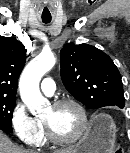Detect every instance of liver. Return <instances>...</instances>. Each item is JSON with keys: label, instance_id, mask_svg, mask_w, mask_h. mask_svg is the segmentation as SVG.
<instances>
[{"label": "liver", "instance_id": "liver-1", "mask_svg": "<svg viewBox=\"0 0 130 153\" xmlns=\"http://www.w3.org/2000/svg\"><path fill=\"white\" fill-rule=\"evenodd\" d=\"M74 150H61L58 153H72ZM0 153H27L25 150L14 145L11 140L0 131Z\"/></svg>", "mask_w": 130, "mask_h": 153}]
</instances>
